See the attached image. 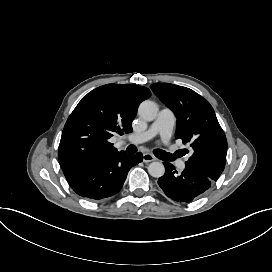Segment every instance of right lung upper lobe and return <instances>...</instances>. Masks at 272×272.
<instances>
[{"label": "right lung upper lobe", "mask_w": 272, "mask_h": 272, "mask_svg": "<svg viewBox=\"0 0 272 272\" xmlns=\"http://www.w3.org/2000/svg\"><path fill=\"white\" fill-rule=\"evenodd\" d=\"M146 87L126 84L100 86L78 103L69 116L58 149L62 170L118 153L108 140L113 134L132 131L139 104L149 98Z\"/></svg>", "instance_id": "1"}]
</instances>
